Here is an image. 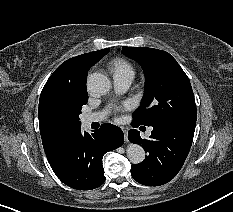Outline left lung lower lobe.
<instances>
[{
	"label": "left lung lower lobe",
	"mask_w": 233,
	"mask_h": 212,
	"mask_svg": "<svg viewBox=\"0 0 233 212\" xmlns=\"http://www.w3.org/2000/svg\"><path fill=\"white\" fill-rule=\"evenodd\" d=\"M133 127H138L132 123ZM150 139H142L131 129L128 139L140 144L147 153L144 161L131 166L134 180L147 186H159L173 179L182 168L192 145L195 127L162 122L153 125Z\"/></svg>",
	"instance_id": "0a47b994"
}]
</instances>
